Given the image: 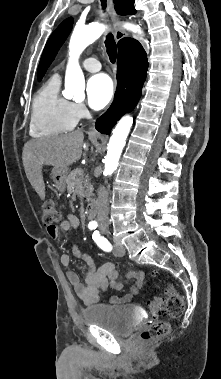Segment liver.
<instances>
[{"instance_id": "obj_1", "label": "liver", "mask_w": 221, "mask_h": 379, "mask_svg": "<svg viewBox=\"0 0 221 379\" xmlns=\"http://www.w3.org/2000/svg\"><path fill=\"white\" fill-rule=\"evenodd\" d=\"M84 134L75 131L59 136L32 139L23 148V165L26 176L39 195L45 199L42 166L68 167L82 155Z\"/></svg>"}]
</instances>
